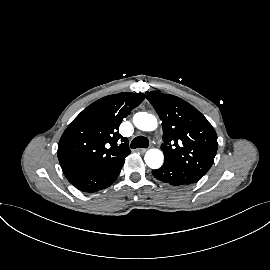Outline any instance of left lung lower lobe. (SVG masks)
Segmentation results:
<instances>
[{
	"label": "left lung lower lobe",
	"instance_id": "obj_1",
	"mask_svg": "<svg viewBox=\"0 0 270 270\" xmlns=\"http://www.w3.org/2000/svg\"><path fill=\"white\" fill-rule=\"evenodd\" d=\"M152 174L156 179L173 186H188L202 178L185 167L166 162L159 169L153 170Z\"/></svg>",
	"mask_w": 270,
	"mask_h": 270
}]
</instances>
